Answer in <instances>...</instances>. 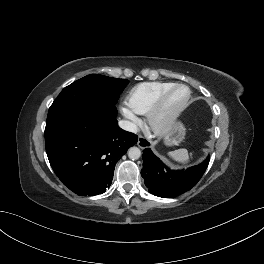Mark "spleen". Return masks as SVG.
I'll return each instance as SVG.
<instances>
[{
    "label": "spleen",
    "instance_id": "3e777b00",
    "mask_svg": "<svg viewBox=\"0 0 264 264\" xmlns=\"http://www.w3.org/2000/svg\"><path fill=\"white\" fill-rule=\"evenodd\" d=\"M168 155L173 158L175 161L180 163H187L190 158H192L193 153H188L187 149H178L172 152H169Z\"/></svg>",
    "mask_w": 264,
    "mask_h": 264
}]
</instances>
